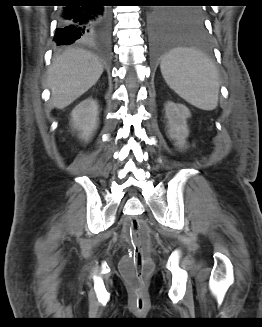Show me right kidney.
Returning <instances> with one entry per match:
<instances>
[{
    "mask_svg": "<svg viewBox=\"0 0 262 327\" xmlns=\"http://www.w3.org/2000/svg\"><path fill=\"white\" fill-rule=\"evenodd\" d=\"M99 107L96 100L85 99L71 112L72 127L79 131V138L88 142L98 127Z\"/></svg>",
    "mask_w": 262,
    "mask_h": 327,
    "instance_id": "1",
    "label": "right kidney"
}]
</instances>
